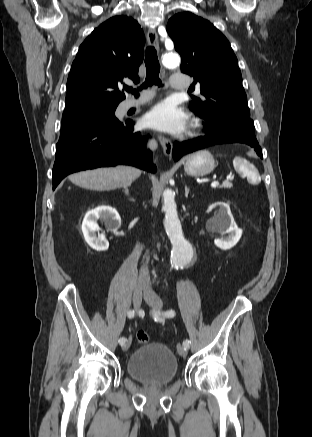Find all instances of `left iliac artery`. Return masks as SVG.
I'll use <instances>...</instances> for the list:
<instances>
[{"instance_id": "left-iliac-artery-1", "label": "left iliac artery", "mask_w": 312, "mask_h": 437, "mask_svg": "<svg viewBox=\"0 0 312 437\" xmlns=\"http://www.w3.org/2000/svg\"><path fill=\"white\" fill-rule=\"evenodd\" d=\"M159 315H160L159 312H154V313H153V316H154L155 318L159 317ZM162 315L165 316V317H167V318H172V317L175 316V311H173V310H167V311L163 312ZM189 345H190V341H189L188 339H186V340L183 341V346H184L185 348H189Z\"/></svg>"}]
</instances>
